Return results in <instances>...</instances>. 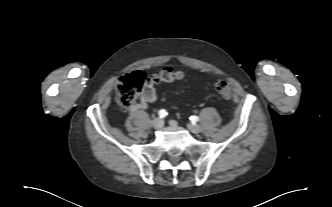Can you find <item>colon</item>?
Here are the masks:
<instances>
[{
    "label": "colon",
    "instance_id": "colon-1",
    "mask_svg": "<svg viewBox=\"0 0 332 207\" xmlns=\"http://www.w3.org/2000/svg\"><path fill=\"white\" fill-rule=\"evenodd\" d=\"M183 73L170 67L161 69L148 77L153 83H170L182 79ZM147 77L142 71H134L118 81L117 100L122 110L129 109L136 101L142 91V87ZM217 92L226 100L232 96L231 86L227 81H218L216 83Z\"/></svg>",
    "mask_w": 332,
    "mask_h": 207
}]
</instances>
